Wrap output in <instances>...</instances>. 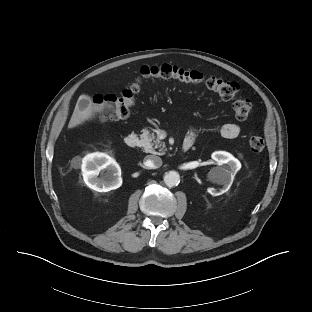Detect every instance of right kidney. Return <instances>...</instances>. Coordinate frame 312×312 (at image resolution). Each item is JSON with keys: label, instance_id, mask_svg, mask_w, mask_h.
<instances>
[{"label": "right kidney", "instance_id": "obj_1", "mask_svg": "<svg viewBox=\"0 0 312 312\" xmlns=\"http://www.w3.org/2000/svg\"><path fill=\"white\" fill-rule=\"evenodd\" d=\"M100 171L105 172L98 177ZM82 175L86 185L98 192H108L122 185L119 165L105 153H93L84 157Z\"/></svg>", "mask_w": 312, "mask_h": 312}]
</instances>
